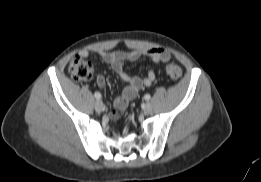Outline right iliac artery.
<instances>
[{
    "instance_id": "1",
    "label": "right iliac artery",
    "mask_w": 261,
    "mask_h": 182,
    "mask_svg": "<svg viewBox=\"0 0 261 182\" xmlns=\"http://www.w3.org/2000/svg\"><path fill=\"white\" fill-rule=\"evenodd\" d=\"M94 96H95L96 99H101L102 98V96H101V94L99 92H95Z\"/></svg>"
}]
</instances>
